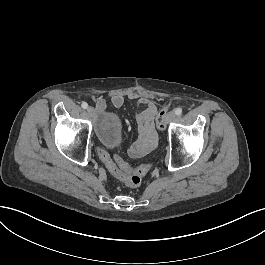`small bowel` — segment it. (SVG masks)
I'll return each mask as SVG.
<instances>
[{
    "label": "small bowel",
    "mask_w": 265,
    "mask_h": 265,
    "mask_svg": "<svg viewBox=\"0 0 265 265\" xmlns=\"http://www.w3.org/2000/svg\"><path fill=\"white\" fill-rule=\"evenodd\" d=\"M128 100L136 101L139 107V111L136 114V120L140 129L141 138L136 144L129 150V154L132 157L138 158L144 156L148 151L152 150L155 146V130H154V116L156 114V104L147 95H138L131 92L126 95ZM125 96L120 92H113L111 94V104L114 107H121L124 104ZM97 111H102L101 99H96ZM109 155V154H108ZM105 167L112 174L115 171H121V167L116 160H113L110 156L103 162Z\"/></svg>",
    "instance_id": "c3829d8e"
}]
</instances>
